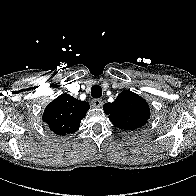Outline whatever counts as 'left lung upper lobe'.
Wrapping results in <instances>:
<instances>
[{"instance_id": "5c2ea615", "label": "left lung upper lobe", "mask_w": 196, "mask_h": 196, "mask_svg": "<svg viewBox=\"0 0 196 196\" xmlns=\"http://www.w3.org/2000/svg\"><path fill=\"white\" fill-rule=\"evenodd\" d=\"M112 124L123 130H134L144 126L150 118L147 102L130 90L122 91L112 103L103 106Z\"/></svg>"}]
</instances>
